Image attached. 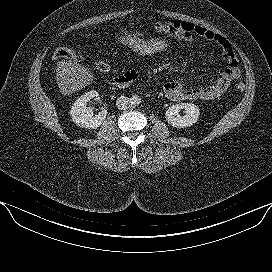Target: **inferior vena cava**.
<instances>
[{"label":"inferior vena cava","mask_w":272,"mask_h":272,"mask_svg":"<svg viewBox=\"0 0 272 272\" xmlns=\"http://www.w3.org/2000/svg\"><path fill=\"white\" fill-rule=\"evenodd\" d=\"M116 106H117V108L119 110H126V109H128L131 106V104H130V98H128L126 96H120L116 100Z\"/></svg>","instance_id":"602c4592"}]
</instances>
